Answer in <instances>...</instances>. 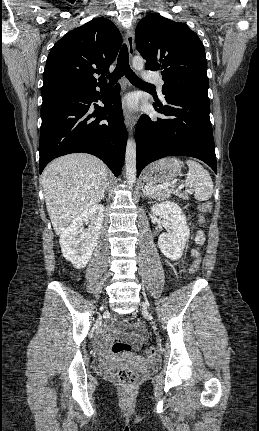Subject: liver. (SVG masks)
<instances>
[{"label": "liver", "mask_w": 259, "mask_h": 431, "mask_svg": "<svg viewBox=\"0 0 259 431\" xmlns=\"http://www.w3.org/2000/svg\"><path fill=\"white\" fill-rule=\"evenodd\" d=\"M41 182L53 229L61 235L75 217L100 202L108 168L93 155L69 154L47 165Z\"/></svg>", "instance_id": "liver-1"}]
</instances>
